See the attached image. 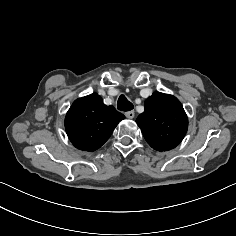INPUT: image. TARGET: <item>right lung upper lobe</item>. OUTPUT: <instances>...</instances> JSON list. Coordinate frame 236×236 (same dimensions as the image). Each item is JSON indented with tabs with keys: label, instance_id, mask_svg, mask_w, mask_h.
<instances>
[{
	"label": "right lung upper lobe",
	"instance_id": "1",
	"mask_svg": "<svg viewBox=\"0 0 236 236\" xmlns=\"http://www.w3.org/2000/svg\"><path fill=\"white\" fill-rule=\"evenodd\" d=\"M125 116L103 103L93 93L75 100L65 118V129L72 144L83 151H95L111 136Z\"/></svg>",
	"mask_w": 236,
	"mask_h": 236
}]
</instances>
